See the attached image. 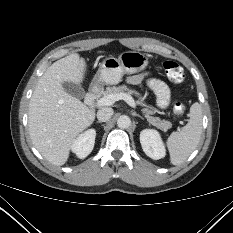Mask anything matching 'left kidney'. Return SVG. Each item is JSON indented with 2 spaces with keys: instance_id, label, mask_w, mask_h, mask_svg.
<instances>
[{
  "instance_id": "5707ae66",
  "label": "left kidney",
  "mask_w": 233,
  "mask_h": 233,
  "mask_svg": "<svg viewBox=\"0 0 233 233\" xmlns=\"http://www.w3.org/2000/svg\"><path fill=\"white\" fill-rule=\"evenodd\" d=\"M140 143L145 154L158 160L166 155L165 145L158 131L154 129H144L140 133Z\"/></svg>"
}]
</instances>
